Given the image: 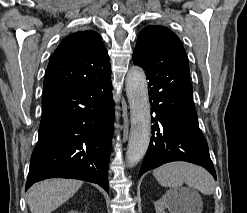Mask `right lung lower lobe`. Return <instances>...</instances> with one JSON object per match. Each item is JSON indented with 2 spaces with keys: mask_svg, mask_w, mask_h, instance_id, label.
Returning <instances> with one entry per match:
<instances>
[{
  "mask_svg": "<svg viewBox=\"0 0 247 213\" xmlns=\"http://www.w3.org/2000/svg\"><path fill=\"white\" fill-rule=\"evenodd\" d=\"M113 121L111 74L43 96L26 190L62 177L97 183L108 192Z\"/></svg>",
  "mask_w": 247,
  "mask_h": 213,
  "instance_id": "1",
  "label": "right lung lower lobe"
}]
</instances>
